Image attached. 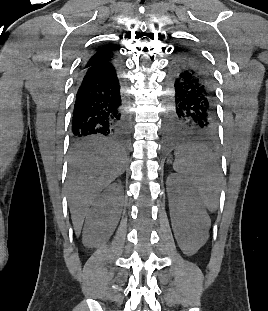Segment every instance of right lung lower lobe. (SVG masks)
I'll use <instances>...</instances> for the list:
<instances>
[{"label": "right lung lower lobe", "instance_id": "obj_1", "mask_svg": "<svg viewBox=\"0 0 268 311\" xmlns=\"http://www.w3.org/2000/svg\"><path fill=\"white\" fill-rule=\"evenodd\" d=\"M130 130L127 96L118 59L81 69L71 118V136L103 135L126 143Z\"/></svg>", "mask_w": 268, "mask_h": 311}]
</instances>
